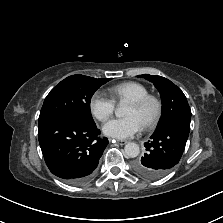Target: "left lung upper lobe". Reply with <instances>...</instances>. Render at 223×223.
Segmentation results:
<instances>
[{"label": "left lung upper lobe", "instance_id": "5c2ea615", "mask_svg": "<svg viewBox=\"0 0 223 223\" xmlns=\"http://www.w3.org/2000/svg\"><path fill=\"white\" fill-rule=\"evenodd\" d=\"M154 84L162 99V116L155 131L179 122L190 127L191 110L184 93L170 80L162 76L139 75Z\"/></svg>", "mask_w": 223, "mask_h": 223}]
</instances>
